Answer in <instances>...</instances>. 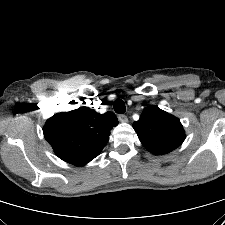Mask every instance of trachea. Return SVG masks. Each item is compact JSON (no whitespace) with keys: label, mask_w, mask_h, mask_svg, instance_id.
<instances>
[{"label":"trachea","mask_w":225,"mask_h":225,"mask_svg":"<svg viewBox=\"0 0 225 225\" xmlns=\"http://www.w3.org/2000/svg\"><path fill=\"white\" fill-rule=\"evenodd\" d=\"M114 110L118 114H124L126 111V106L123 100L121 99H116L114 102Z\"/></svg>","instance_id":"1"}]
</instances>
